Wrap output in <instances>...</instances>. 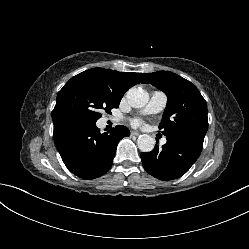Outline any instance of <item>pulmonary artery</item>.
<instances>
[{
    "label": "pulmonary artery",
    "mask_w": 249,
    "mask_h": 249,
    "mask_svg": "<svg viewBox=\"0 0 249 249\" xmlns=\"http://www.w3.org/2000/svg\"><path fill=\"white\" fill-rule=\"evenodd\" d=\"M167 103V96L161 91H155L152 93L150 101L143 110L144 114H155L161 112ZM162 144L166 143V139L161 140Z\"/></svg>",
    "instance_id": "obj_1"
}]
</instances>
